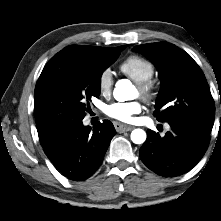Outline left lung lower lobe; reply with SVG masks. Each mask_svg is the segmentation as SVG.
Returning a JSON list of instances; mask_svg holds the SVG:
<instances>
[{"label": "left lung lower lobe", "mask_w": 221, "mask_h": 221, "mask_svg": "<svg viewBox=\"0 0 221 221\" xmlns=\"http://www.w3.org/2000/svg\"><path fill=\"white\" fill-rule=\"evenodd\" d=\"M164 137L147 131L139 155L150 170L162 176H179L192 169L205 154L210 132L188 121L169 122Z\"/></svg>", "instance_id": "obj_1"}]
</instances>
